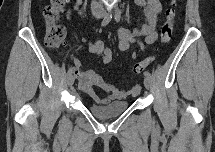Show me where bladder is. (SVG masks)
I'll return each instance as SVG.
<instances>
[{
  "label": "bladder",
  "instance_id": "obj_1",
  "mask_svg": "<svg viewBox=\"0 0 215 152\" xmlns=\"http://www.w3.org/2000/svg\"><path fill=\"white\" fill-rule=\"evenodd\" d=\"M128 107V101H112L106 104H91L89 110L96 117L110 118L122 114Z\"/></svg>",
  "mask_w": 215,
  "mask_h": 152
}]
</instances>
